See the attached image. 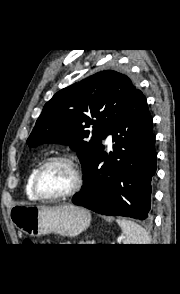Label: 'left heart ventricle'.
Listing matches in <instances>:
<instances>
[{
    "label": "left heart ventricle",
    "instance_id": "b2bd125f",
    "mask_svg": "<svg viewBox=\"0 0 180 294\" xmlns=\"http://www.w3.org/2000/svg\"><path fill=\"white\" fill-rule=\"evenodd\" d=\"M74 184V175L69 166L56 163L49 166L41 175L39 188L44 195L54 196L67 192Z\"/></svg>",
    "mask_w": 180,
    "mask_h": 294
}]
</instances>
